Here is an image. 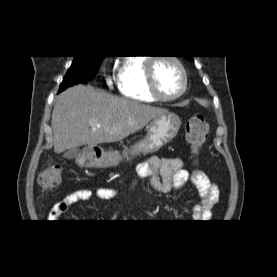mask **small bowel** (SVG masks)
I'll use <instances>...</instances> for the list:
<instances>
[{
    "mask_svg": "<svg viewBox=\"0 0 277 277\" xmlns=\"http://www.w3.org/2000/svg\"><path fill=\"white\" fill-rule=\"evenodd\" d=\"M136 175L141 178H148L152 187L161 193L179 190L191 179L201 196V202L193 210L195 220L209 219L212 215V209L219 200L218 186L212 183L202 171L189 172L185 169L181 158L152 157L147 162L138 165ZM94 197L100 200H111L118 198V193L110 188L76 189L54 204L47 215L48 222H58L74 204L88 201Z\"/></svg>",
    "mask_w": 277,
    "mask_h": 277,
    "instance_id": "c3829d8e",
    "label": "small bowel"
}]
</instances>
